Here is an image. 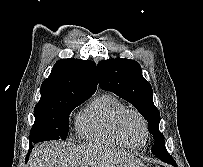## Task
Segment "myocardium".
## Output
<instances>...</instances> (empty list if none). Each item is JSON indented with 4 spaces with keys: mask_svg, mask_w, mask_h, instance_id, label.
Segmentation results:
<instances>
[{
    "mask_svg": "<svg viewBox=\"0 0 203 167\" xmlns=\"http://www.w3.org/2000/svg\"><path fill=\"white\" fill-rule=\"evenodd\" d=\"M129 114H133V115L137 116L139 118V120L142 122L143 129H144V140H143L142 144H140V145L133 144L127 138L126 134L123 131V128H122L123 119ZM115 128H116L117 133L120 135V137L133 148H139V147L144 146L149 138V125H148L147 119L144 117V115L139 110L134 109V108H125L124 110H122L119 113V115L115 121Z\"/></svg>",
    "mask_w": 203,
    "mask_h": 167,
    "instance_id": "myocardium-1",
    "label": "myocardium"
}]
</instances>
